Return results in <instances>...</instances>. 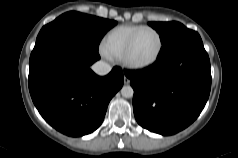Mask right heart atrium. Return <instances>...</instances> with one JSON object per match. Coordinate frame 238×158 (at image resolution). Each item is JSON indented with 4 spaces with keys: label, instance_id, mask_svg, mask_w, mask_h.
<instances>
[{
    "label": "right heart atrium",
    "instance_id": "d8ad5b80",
    "mask_svg": "<svg viewBox=\"0 0 238 158\" xmlns=\"http://www.w3.org/2000/svg\"><path fill=\"white\" fill-rule=\"evenodd\" d=\"M101 52H102V54L105 56V57H107V58H111L108 54H106L102 49H101Z\"/></svg>",
    "mask_w": 238,
    "mask_h": 158
}]
</instances>
